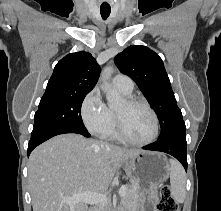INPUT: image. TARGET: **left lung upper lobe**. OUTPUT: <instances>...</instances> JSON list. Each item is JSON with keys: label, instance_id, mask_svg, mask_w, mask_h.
<instances>
[{"label": "left lung upper lobe", "instance_id": "1", "mask_svg": "<svg viewBox=\"0 0 221 211\" xmlns=\"http://www.w3.org/2000/svg\"><path fill=\"white\" fill-rule=\"evenodd\" d=\"M121 73L131 77L156 112L161 134L158 140L185 134L186 127L177 106L162 59L142 45H132L115 57Z\"/></svg>", "mask_w": 221, "mask_h": 211}]
</instances>
